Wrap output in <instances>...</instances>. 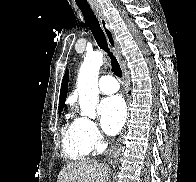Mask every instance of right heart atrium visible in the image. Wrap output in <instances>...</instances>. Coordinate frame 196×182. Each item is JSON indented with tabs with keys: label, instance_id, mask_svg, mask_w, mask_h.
Here are the masks:
<instances>
[{
	"label": "right heart atrium",
	"instance_id": "d8ad5b80",
	"mask_svg": "<svg viewBox=\"0 0 196 182\" xmlns=\"http://www.w3.org/2000/svg\"><path fill=\"white\" fill-rule=\"evenodd\" d=\"M82 136L90 151H98L104 146V137L97 124L88 118H80Z\"/></svg>",
	"mask_w": 196,
	"mask_h": 182
}]
</instances>
